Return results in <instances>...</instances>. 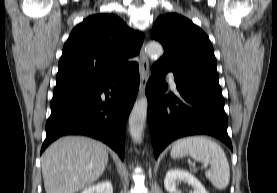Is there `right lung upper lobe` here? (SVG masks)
Segmentation results:
<instances>
[{"mask_svg": "<svg viewBox=\"0 0 277 193\" xmlns=\"http://www.w3.org/2000/svg\"><path fill=\"white\" fill-rule=\"evenodd\" d=\"M143 40L114 14L87 17L63 47L56 85L97 79L132 64L128 58L138 54Z\"/></svg>", "mask_w": 277, "mask_h": 193, "instance_id": "obj_1", "label": "right lung upper lobe"}]
</instances>
